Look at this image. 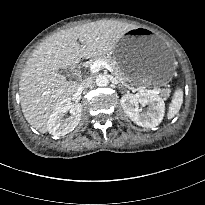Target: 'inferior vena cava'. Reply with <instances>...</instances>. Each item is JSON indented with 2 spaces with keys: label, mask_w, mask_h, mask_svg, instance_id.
I'll use <instances>...</instances> for the list:
<instances>
[{
  "label": "inferior vena cava",
  "mask_w": 205,
  "mask_h": 205,
  "mask_svg": "<svg viewBox=\"0 0 205 205\" xmlns=\"http://www.w3.org/2000/svg\"><path fill=\"white\" fill-rule=\"evenodd\" d=\"M93 83H94V81L92 78H86L85 80H83L81 85L78 87V90L83 91V90L91 87L93 85Z\"/></svg>",
  "instance_id": "602c4592"
}]
</instances>
